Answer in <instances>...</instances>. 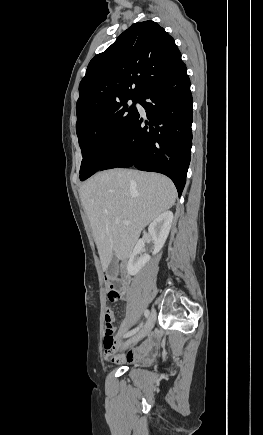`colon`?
<instances>
[{
  "label": "colon",
  "mask_w": 263,
  "mask_h": 435,
  "mask_svg": "<svg viewBox=\"0 0 263 435\" xmlns=\"http://www.w3.org/2000/svg\"><path fill=\"white\" fill-rule=\"evenodd\" d=\"M107 284L109 287L108 297L112 302H118L121 300V293L119 291L118 286L112 279H107ZM104 350H114V329H113V321L108 313L105 316V333H104Z\"/></svg>",
  "instance_id": "colon-1"
}]
</instances>
